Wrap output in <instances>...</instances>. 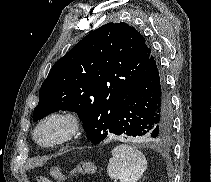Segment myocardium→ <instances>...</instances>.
Returning <instances> with one entry per match:
<instances>
[{
    "label": "myocardium",
    "mask_w": 211,
    "mask_h": 182,
    "mask_svg": "<svg viewBox=\"0 0 211 182\" xmlns=\"http://www.w3.org/2000/svg\"><path fill=\"white\" fill-rule=\"evenodd\" d=\"M53 121H62L66 123V130L57 138L51 140H42L39 136L40 131ZM83 128L82 118L70 110L54 111L43 117L36 125L33 131L34 141L41 147L49 148L66 143L76 137Z\"/></svg>",
    "instance_id": "1"
}]
</instances>
